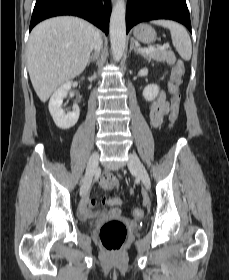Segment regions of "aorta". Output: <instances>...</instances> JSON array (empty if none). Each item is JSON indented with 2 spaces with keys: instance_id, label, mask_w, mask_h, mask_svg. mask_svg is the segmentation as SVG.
Segmentation results:
<instances>
[{
  "instance_id": "obj_1",
  "label": "aorta",
  "mask_w": 229,
  "mask_h": 280,
  "mask_svg": "<svg viewBox=\"0 0 229 280\" xmlns=\"http://www.w3.org/2000/svg\"><path fill=\"white\" fill-rule=\"evenodd\" d=\"M125 3L118 0L114 5L110 18V43L115 61H119L124 53L126 44Z\"/></svg>"
}]
</instances>
